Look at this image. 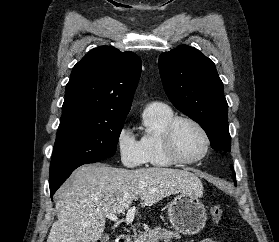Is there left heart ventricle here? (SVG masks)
<instances>
[{"label":"left heart ventricle","instance_id":"1","mask_svg":"<svg viewBox=\"0 0 279 242\" xmlns=\"http://www.w3.org/2000/svg\"><path fill=\"white\" fill-rule=\"evenodd\" d=\"M175 144L180 155L186 159L200 156L205 148V141L200 131L188 122H180L175 129Z\"/></svg>","mask_w":279,"mask_h":242}]
</instances>
